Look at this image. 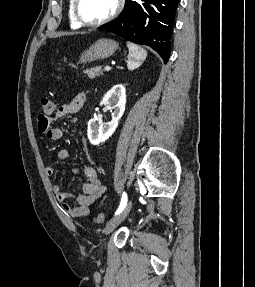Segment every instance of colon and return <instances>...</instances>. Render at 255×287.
<instances>
[{"instance_id":"1","label":"colon","mask_w":255,"mask_h":287,"mask_svg":"<svg viewBox=\"0 0 255 287\" xmlns=\"http://www.w3.org/2000/svg\"><path fill=\"white\" fill-rule=\"evenodd\" d=\"M41 104L43 107V111L46 115H51L56 111V104L53 100L49 98H42ZM106 220V214L99 213L94 217L95 223H103Z\"/></svg>"}]
</instances>
